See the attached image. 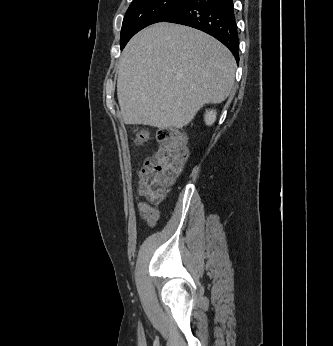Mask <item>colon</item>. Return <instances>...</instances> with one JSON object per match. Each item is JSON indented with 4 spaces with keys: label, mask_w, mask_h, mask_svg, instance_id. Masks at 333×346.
Masks as SVG:
<instances>
[{
    "label": "colon",
    "mask_w": 333,
    "mask_h": 346,
    "mask_svg": "<svg viewBox=\"0 0 333 346\" xmlns=\"http://www.w3.org/2000/svg\"><path fill=\"white\" fill-rule=\"evenodd\" d=\"M147 137L145 132H139L136 142L141 144ZM158 141L156 152L145 161L139 178V192L148 204L163 201L188 156L184 137L180 133L162 130L158 133Z\"/></svg>",
    "instance_id": "obj_1"
}]
</instances>
